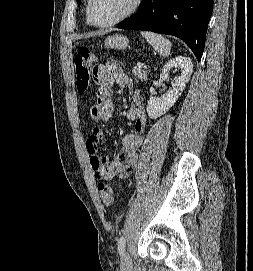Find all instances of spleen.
I'll use <instances>...</instances> for the list:
<instances>
[{"mask_svg":"<svg viewBox=\"0 0 253 271\" xmlns=\"http://www.w3.org/2000/svg\"><path fill=\"white\" fill-rule=\"evenodd\" d=\"M140 33L160 55L169 56L172 44L167 38L150 31H141Z\"/></svg>","mask_w":253,"mask_h":271,"instance_id":"obj_1","label":"spleen"}]
</instances>
